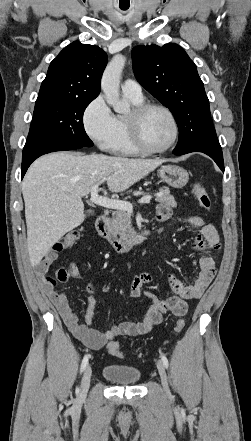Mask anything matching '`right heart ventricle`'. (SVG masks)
<instances>
[{
	"label": "right heart ventricle",
	"mask_w": 251,
	"mask_h": 441,
	"mask_svg": "<svg viewBox=\"0 0 251 441\" xmlns=\"http://www.w3.org/2000/svg\"><path fill=\"white\" fill-rule=\"evenodd\" d=\"M130 102L134 105H140L144 103L143 97L135 98L131 96L125 95ZM116 118V125H117V132L116 135L109 147V150L122 155H137L141 151L133 144L129 131L128 126L126 122V116L118 115L115 116Z\"/></svg>",
	"instance_id": "1"
}]
</instances>
